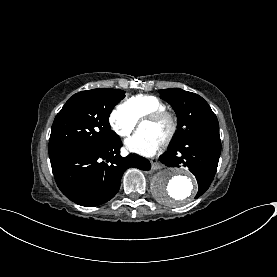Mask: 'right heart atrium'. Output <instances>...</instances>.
<instances>
[{
  "mask_svg": "<svg viewBox=\"0 0 277 277\" xmlns=\"http://www.w3.org/2000/svg\"><path fill=\"white\" fill-rule=\"evenodd\" d=\"M112 129L120 137H128L135 129L136 119L125 106H117L109 118Z\"/></svg>",
  "mask_w": 277,
  "mask_h": 277,
  "instance_id": "right-heart-atrium-1",
  "label": "right heart atrium"
}]
</instances>
